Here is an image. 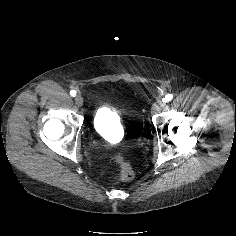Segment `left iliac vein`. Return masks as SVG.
Returning <instances> with one entry per match:
<instances>
[{
	"mask_svg": "<svg viewBox=\"0 0 236 236\" xmlns=\"http://www.w3.org/2000/svg\"><path fill=\"white\" fill-rule=\"evenodd\" d=\"M165 102L163 100H159L157 103H155L152 106V112L153 113H157L159 111H161V109H163L165 107Z\"/></svg>",
	"mask_w": 236,
	"mask_h": 236,
	"instance_id": "left-iliac-vein-1",
	"label": "left iliac vein"
}]
</instances>
